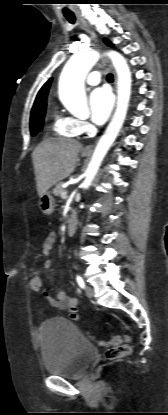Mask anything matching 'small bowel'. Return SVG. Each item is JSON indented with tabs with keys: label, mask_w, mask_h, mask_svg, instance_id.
Instances as JSON below:
<instances>
[{
	"label": "small bowel",
	"mask_w": 168,
	"mask_h": 415,
	"mask_svg": "<svg viewBox=\"0 0 168 415\" xmlns=\"http://www.w3.org/2000/svg\"><path fill=\"white\" fill-rule=\"evenodd\" d=\"M56 233L51 232L43 241L42 243V252L45 256L50 257L52 253V249L56 242ZM51 260L47 259L43 263L44 269H50L51 268ZM31 280V277H30ZM29 280V281H30ZM43 296L48 301V303L57 309L62 310H69L72 313V317L76 318V311H77V305L78 300L77 298L68 295L65 291H59L56 296H53L51 292L47 289L43 290Z\"/></svg>",
	"instance_id": "small-bowel-1"
}]
</instances>
